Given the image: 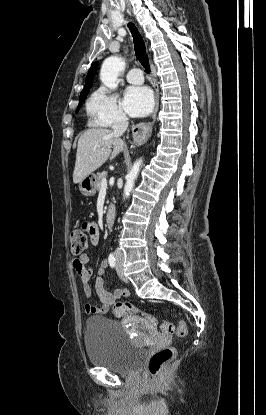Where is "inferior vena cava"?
I'll return each mask as SVG.
<instances>
[{"instance_id": "inferior-vena-cava-1", "label": "inferior vena cava", "mask_w": 266, "mask_h": 415, "mask_svg": "<svg viewBox=\"0 0 266 415\" xmlns=\"http://www.w3.org/2000/svg\"><path fill=\"white\" fill-rule=\"evenodd\" d=\"M128 127V118L125 115H120L114 125H113V133L116 136H121ZM117 258L122 257V253L119 250H115L114 252Z\"/></svg>"}]
</instances>
